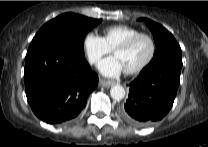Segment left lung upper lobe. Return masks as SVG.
<instances>
[{"instance_id":"1","label":"left lung upper lobe","mask_w":208,"mask_h":147,"mask_svg":"<svg viewBox=\"0 0 208 147\" xmlns=\"http://www.w3.org/2000/svg\"><path fill=\"white\" fill-rule=\"evenodd\" d=\"M139 20L145 21L153 34L156 45L153 59L144 69L156 66L162 62H172L182 66V51L174 36L162 25L150 19L141 18Z\"/></svg>"}]
</instances>
